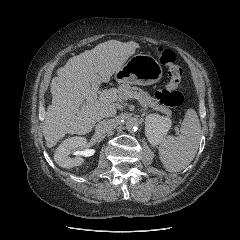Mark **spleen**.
I'll return each mask as SVG.
<instances>
[{
  "mask_svg": "<svg viewBox=\"0 0 240 240\" xmlns=\"http://www.w3.org/2000/svg\"><path fill=\"white\" fill-rule=\"evenodd\" d=\"M201 139V125L195 110L188 109L178 136H168L158 148L160 160L169 172L185 169L194 159Z\"/></svg>",
  "mask_w": 240,
  "mask_h": 240,
  "instance_id": "3e777b00",
  "label": "spleen"
}]
</instances>
